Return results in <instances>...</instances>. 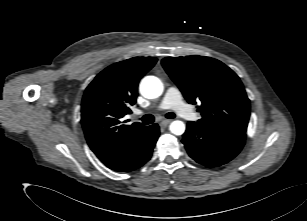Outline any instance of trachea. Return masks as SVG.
Masks as SVG:
<instances>
[{"label": "trachea", "instance_id": "trachea-1", "mask_svg": "<svg viewBox=\"0 0 307 221\" xmlns=\"http://www.w3.org/2000/svg\"><path fill=\"white\" fill-rule=\"evenodd\" d=\"M175 114L172 113V112H169L166 114V118L168 119H173L175 118ZM141 121L143 122V124H151L154 122V116L151 115V114H147V115H144L142 118H141Z\"/></svg>", "mask_w": 307, "mask_h": 221}]
</instances>
